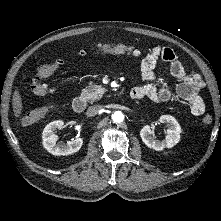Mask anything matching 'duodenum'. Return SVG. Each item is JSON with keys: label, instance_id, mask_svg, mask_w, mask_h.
I'll return each mask as SVG.
<instances>
[{"label": "duodenum", "instance_id": "duodenum-1", "mask_svg": "<svg viewBox=\"0 0 221 221\" xmlns=\"http://www.w3.org/2000/svg\"><path fill=\"white\" fill-rule=\"evenodd\" d=\"M131 97L136 99L134 94L131 92ZM86 107V101L82 97H75L72 101V108L76 113H81Z\"/></svg>", "mask_w": 221, "mask_h": 221}]
</instances>
